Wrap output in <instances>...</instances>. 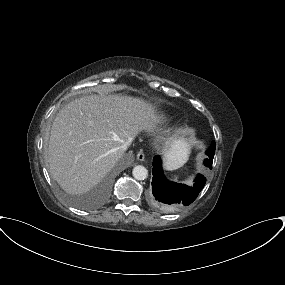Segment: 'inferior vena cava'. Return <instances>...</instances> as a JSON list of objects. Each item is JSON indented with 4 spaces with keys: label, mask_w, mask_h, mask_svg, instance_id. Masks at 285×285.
<instances>
[{
    "label": "inferior vena cava",
    "mask_w": 285,
    "mask_h": 285,
    "mask_svg": "<svg viewBox=\"0 0 285 285\" xmlns=\"http://www.w3.org/2000/svg\"><path fill=\"white\" fill-rule=\"evenodd\" d=\"M130 144V142H126L121 146V151L124 153L128 147V145Z\"/></svg>",
    "instance_id": "inferior-vena-cava-1"
}]
</instances>
